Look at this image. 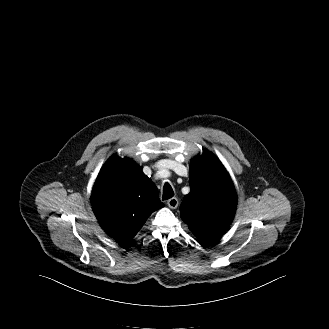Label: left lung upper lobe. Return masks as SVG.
<instances>
[{"label": "left lung upper lobe", "instance_id": "obj_1", "mask_svg": "<svg viewBox=\"0 0 329 329\" xmlns=\"http://www.w3.org/2000/svg\"><path fill=\"white\" fill-rule=\"evenodd\" d=\"M189 183L181 218L201 244L214 242L233 220L237 204L233 183L219 159L207 151L191 160Z\"/></svg>", "mask_w": 329, "mask_h": 329}]
</instances>
